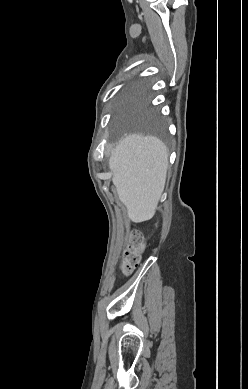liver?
Returning a JSON list of instances; mask_svg holds the SVG:
<instances>
[{"label":"liver","instance_id":"liver-1","mask_svg":"<svg viewBox=\"0 0 248 389\" xmlns=\"http://www.w3.org/2000/svg\"><path fill=\"white\" fill-rule=\"evenodd\" d=\"M109 168L128 217L135 222L150 219L156 212L165 186L168 169L165 144L150 135H126L114 148Z\"/></svg>","mask_w":248,"mask_h":389}]
</instances>
